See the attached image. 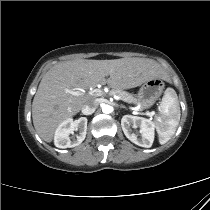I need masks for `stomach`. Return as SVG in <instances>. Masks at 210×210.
Masks as SVG:
<instances>
[{"instance_id":"0dacf381","label":"stomach","mask_w":210,"mask_h":210,"mask_svg":"<svg viewBox=\"0 0 210 210\" xmlns=\"http://www.w3.org/2000/svg\"><path fill=\"white\" fill-rule=\"evenodd\" d=\"M164 89V83L159 78H153L145 81L136 98L135 103L139 104L142 109L151 107L160 97Z\"/></svg>"}]
</instances>
